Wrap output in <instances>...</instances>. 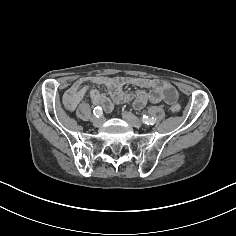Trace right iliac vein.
Masks as SVG:
<instances>
[{"mask_svg": "<svg viewBox=\"0 0 236 236\" xmlns=\"http://www.w3.org/2000/svg\"><path fill=\"white\" fill-rule=\"evenodd\" d=\"M91 122L94 126L99 127L102 124L103 120L94 117L91 119Z\"/></svg>", "mask_w": 236, "mask_h": 236, "instance_id": "63e3f726", "label": "right iliac vein"}]
</instances>
